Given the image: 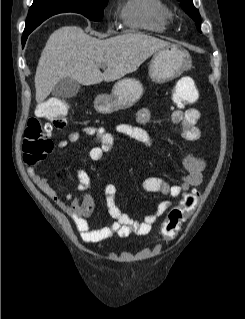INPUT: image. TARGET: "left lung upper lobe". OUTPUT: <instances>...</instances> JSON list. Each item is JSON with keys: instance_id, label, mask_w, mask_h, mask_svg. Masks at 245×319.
Here are the masks:
<instances>
[{"instance_id": "5c2ea615", "label": "left lung upper lobe", "mask_w": 245, "mask_h": 319, "mask_svg": "<svg viewBox=\"0 0 245 319\" xmlns=\"http://www.w3.org/2000/svg\"><path fill=\"white\" fill-rule=\"evenodd\" d=\"M185 12L195 21L197 29L201 32V18L199 11L194 7L192 0H179Z\"/></svg>"}]
</instances>
